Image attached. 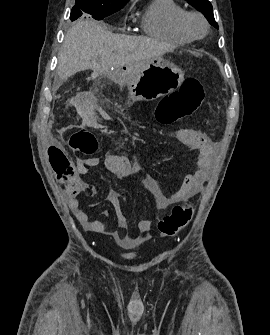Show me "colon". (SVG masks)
Wrapping results in <instances>:
<instances>
[{"instance_id":"5ec220e1","label":"colon","mask_w":270,"mask_h":335,"mask_svg":"<svg viewBox=\"0 0 270 335\" xmlns=\"http://www.w3.org/2000/svg\"><path fill=\"white\" fill-rule=\"evenodd\" d=\"M201 83L195 78L186 79L183 84L170 94H166L157 105L154 112L156 119L162 126L178 123L191 114L201 103ZM72 150L93 156L98 151V140L88 130L74 132L69 139ZM192 218V206L177 204L172 211L165 215L158 223L159 230L165 236H172L184 228Z\"/></svg>"}]
</instances>
